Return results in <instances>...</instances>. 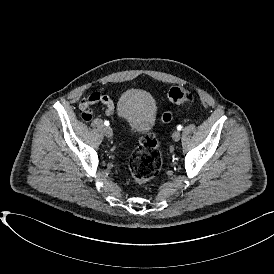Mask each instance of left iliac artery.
I'll return each mask as SVG.
<instances>
[{
	"instance_id": "obj_1",
	"label": "left iliac artery",
	"mask_w": 274,
	"mask_h": 274,
	"mask_svg": "<svg viewBox=\"0 0 274 274\" xmlns=\"http://www.w3.org/2000/svg\"><path fill=\"white\" fill-rule=\"evenodd\" d=\"M177 129H178V130H181V129H182V126H181V125H178V126H177Z\"/></svg>"
}]
</instances>
